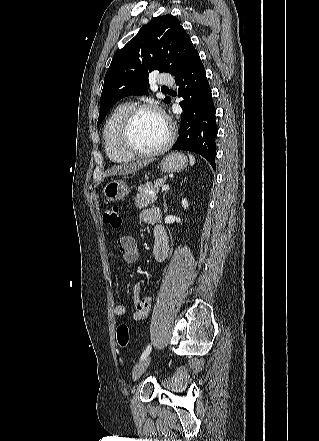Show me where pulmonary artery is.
I'll return each mask as SVG.
<instances>
[{"label":"pulmonary artery","mask_w":319,"mask_h":441,"mask_svg":"<svg viewBox=\"0 0 319 441\" xmlns=\"http://www.w3.org/2000/svg\"><path fill=\"white\" fill-rule=\"evenodd\" d=\"M157 81L160 85L163 86H169L174 83L173 77L166 73L160 74Z\"/></svg>","instance_id":"1"}]
</instances>
